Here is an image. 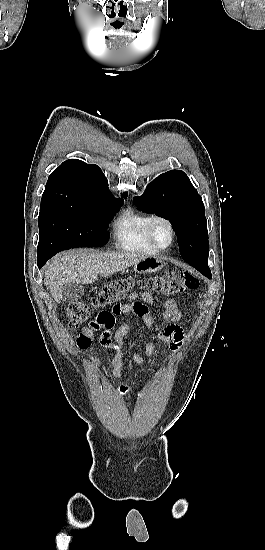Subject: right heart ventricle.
<instances>
[{"label":"right heart ventricle","mask_w":265,"mask_h":550,"mask_svg":"<svg viewBox=\"0 0 265 550\" xmlns=\"http://www.w3.org/2000/svg\"><path fill=\"white\" fill-rule=\"evenodd\" d=\"M151 215L136 210L124 212L114 223L113 234L116 245L125 251L155 254L147 237V225Z\"/></svg>","instance_id":"1"}]
</instances>
